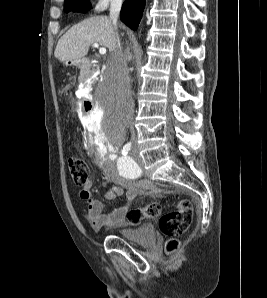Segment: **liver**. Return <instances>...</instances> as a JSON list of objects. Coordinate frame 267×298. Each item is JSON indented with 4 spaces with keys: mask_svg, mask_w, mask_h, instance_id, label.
<instances>
[{
    "mask_svg": "<svg viewBox=\"0 0 267 298\" xmlns=\"http://www.w3.org/2000/svg\"><path fill=\"white\" fill-rule=\"evenodd\" d=\"M118 34L110 18L94 16L71 27L58 41L54 55L61 62H78L93 43L113 51Z\"/></svg>",
    "mask_w": 267,
    "mask_h": 298,
    "instance_id": "obj_1",
    "label": "liver"
}]
</instances>
